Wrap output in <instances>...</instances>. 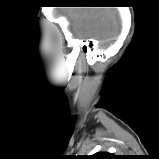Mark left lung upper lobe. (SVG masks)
<instances>
[{
	"mask_svg": "<svg viewBox=\"0 0 159 159\" xmlns=\"http://www.w3.org/2000/svg\"><path fill=\"white\" fill-rule=\"evenodd\" d=\"M85 159H118V157L112 153L98 152L95 153L94 155L85 157Z\"/></svg>",
	"mask_w": 159,
	"mask_h": 159,
	"instance_id": "obj_1",
	"label": "left lung upper lobe"
}]
</instances>
